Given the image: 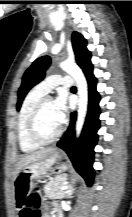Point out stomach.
<instances>
[{
	"label": "stomach",
	"instance_id": "0dacf381",
	"mask_svg": "<svg viewBox=\"0 0 132 217\" xmlns=\"http://www.w3.org/2000/svg\"><path fill=\"white\" fill-rule=\"evenodd\" d=\"M68 169L67 156L56 152L50 157L31 163L22 168L14 177L15 187H33V181L53 174H60Z\"/></svg>",
	"mask_w": 132,
	"mask_h": 217
}]
</instances>
